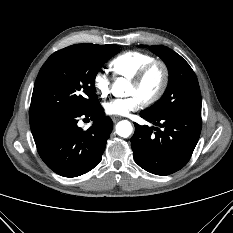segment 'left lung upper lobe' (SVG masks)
Listing matches in <instances>:
<instances>
[{
  "instance_id": "left-lung-upper-lobe-1",
  "label": "left lung upper lobe",
  "mask_w": 233,
  "mask_h": 233,
  "mask_svg": "<svg viewBox=\"0 0 233 233\" xmlns=\"http://www.w3.org/2000/svg\"><path fill=\"white\" fill-rule=\"evenodd\" d=\"M150 50L166 63L169 82L162 98L142 112L153 118L176 111L201 112L199 83L189 64L168 47L153 45Z\"/></svg>"
}]
</instances>
